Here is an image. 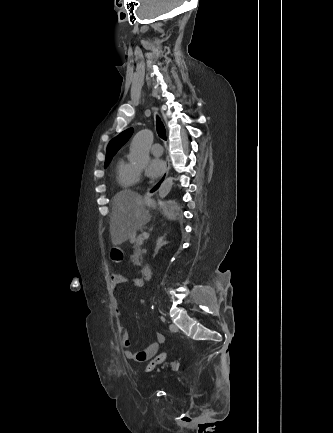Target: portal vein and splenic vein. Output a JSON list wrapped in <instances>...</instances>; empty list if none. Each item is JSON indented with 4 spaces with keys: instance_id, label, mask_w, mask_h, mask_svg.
<instances>
[{
    "instance_id": "18ae733b",
    "label": "portal vein and splenic vein",
    "mask_w": 333,
    "mask_h": 433,
    "mask_svg": "<svg viewBox=\"0 0 333 433\" xmlns=\"http://www.w3.org/2000/svg\"><path fill=\"white\" fill-rule=\"evenodd\" d=\"M143 240H144V237H143V236H140V237L138 238V242H139L140 244H143Z\"/></svg>"
}]
</instances>
